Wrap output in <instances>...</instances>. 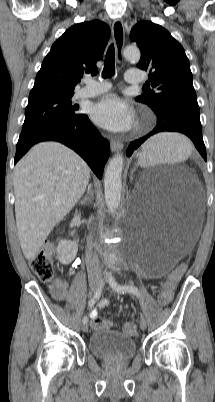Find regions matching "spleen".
<instances>
[{
    "label": "spleen",
    "mask_w": 215,
    "mask_h": 402,
    "mask_svg": "<svg viewBox=\"0 0 215 402\" xmlns=\"http://www.w3.org/2000/svg\"><path fill=\"white\" fill-rule=\"evenodd\" d=\"M190 154L189 143L181 135L162 134L143 145L141 159L144 165L167 161H182Z\"/></svg>",
    "instance_id": "spleen-1"
}]
</instances>
